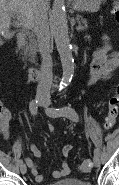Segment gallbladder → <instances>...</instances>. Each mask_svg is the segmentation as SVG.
<instances>
[{
  "label": "gallbladder",
  "instance_id": "1",
  "mask_svg": "<svg viewBox=\"0 0 119 185\" xmlns=\"http://www.w3.org/2000/svg\"><path fill=\"white\" fill-rule=\"evenodd\" d=\"M11 36H12V34L9 33V32H4V33H3V37H4L5 39H10Z\"/></svg>",
  "mask_w": 119,
  "mask_h": 185
}]
</instances>
